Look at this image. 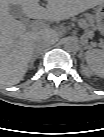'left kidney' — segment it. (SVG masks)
Instances as JSON below:
<instances>
[{"mask_svg": "<svg viewBox=\"0 0 104 137\" xmlns=\"http://www.w3.org/2000/svg\"><path fill=\"white\" fill-rule=\"evenodd\" d=\"M84 69V71L86 72V73H89L90 71H89V69L88 68H83Z\"/></svg>", "mask_w": 104, "mask_h": 137, "instance_id": "5707ae66", "label": "left kidney"}]
</instances>
